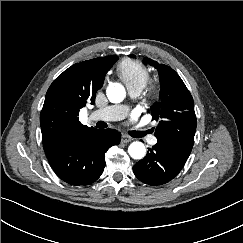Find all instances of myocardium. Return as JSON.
I'll return each instance as SVG.
<instances>
[{
    "label": "myocardium",
    "mask_w": 243,
    "mask_h": 243,
    "mask_svg": "<svg viewBox=\"0 0 243 243\" xmlns=\"http://www.w3.org/2000/svg\"><path fill=\"white\" fill-rule=\"evenodd\" d=\"M151 90H152V91H154V90H155V87H154V86H152Z\"/></svg>",
    "instance_id": "myocardium-1"
}]
</instances>
